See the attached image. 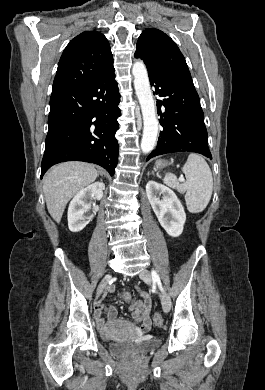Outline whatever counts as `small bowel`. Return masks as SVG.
I'll return each instance as SVG.
<instances>
[{
  "mask_svg": "<svg viewBox=\"0 0 265 390\" xmlns=\"http://www.w3.org/2000/svg\"><path fill=\"white\" fill-rule=\"evenodd\" d=\"M139 294L141 295V299L134 301L130 304L129 310L135 320L136 323L140 324V328L138 331L145 332L148 331L151 326V299L148 294L140 289H138ZM96 320L98 322L99 328L104 334V336H108L107 332V324L104 322L100 308L98 307L96 310ZM107 318L110 323L114 322L116 319V310L113 307H109L107 309Z\"/></svg>",
  "mask_w": 265,
  "mask_h": 390,
  "instance_id": "1",
  "label": "small bowel"
}]
</instances>
